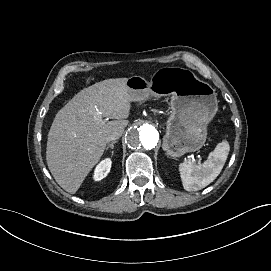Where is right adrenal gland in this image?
<instances>
[{
	"instance_id": "2a0ac1e0",
	"label": "right adrenal gland",
	"mask_w": 271,
	"mask_h": 271,
	"mask_svg": "<svg viewBox=\"0 0 271 271\" xmlns=\"http://www.w3.org/2000/svg\"><path fill=\"white\" fill-rule=\"evenodd\" d=\"M116 142H117V141H112L110 144H108L107 147H106V150H108L109 148L114 149V144H115Z\"/></svg>"
}]
</instances>
